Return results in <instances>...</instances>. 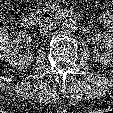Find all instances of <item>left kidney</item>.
Wrapping results in <instances>:
<instances>
[{"instance_id":"obj_1","label":"left kidney","mask_w":113,"mask_h":113,"mask_svg":"<svg viewBox=\"0 0 113 113\" xmlns=\"http://www.w3.org/2000/svg\"><path fill=\"white\" fill-rule=\"evenodd\" d=\"M102 41L106 45V51L100 53L95 47L93 50V58L101 64H110L113 63V36L108 33H97L93 37V42L96 43Z\"/></svg>"}]
</instances>
